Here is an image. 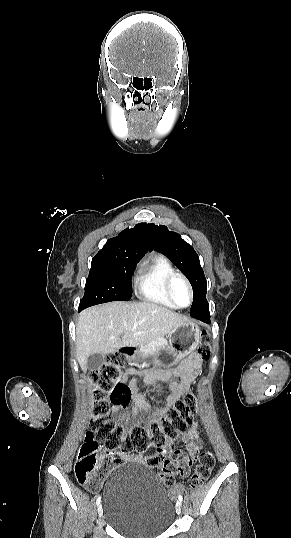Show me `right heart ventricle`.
<instances>
[{
	"label": "right heart ventricle",
	"mask_w": 291,
	"mask_h": 538,
	"mask_svg": "<svg viewBox=\"0 0 291 538\" xmlns=\"http://www.w3.org/2000/svg\"><path fill=\"white\" fill-rule=\"evenodd\" d=\"M176 273L170 260L163 254H153L139 267L135 286L139 296L150 303L176 308L166 293V280Z\"/></svg>",
	"instance_id": "1"
}]
</instances>
